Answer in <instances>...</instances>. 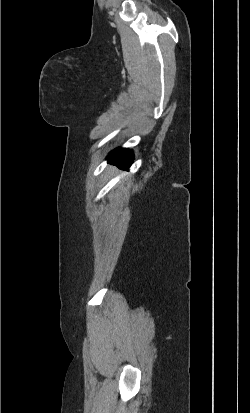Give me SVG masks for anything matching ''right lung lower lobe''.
Returning a JSON list of instances; mask_svg holds the SVG:
<instances>
[{"label":"right lung lower lobe","instance_id":"98d812e1","mask_svg":"<svg viewBox=\"0 0 250 413\" xmlns=\"http://www.w3.org/2000/svg\"><path fill=\"white\" fill-rule=\"evenodd\" d=\"M109 163L116 164L122 169H128L133 161L132 151L129 149H116L108 156Z\"/></svg>","mask_w":250,"mask_h":413}]
</instances>
